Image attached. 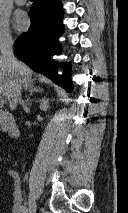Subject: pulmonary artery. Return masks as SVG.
I'll list each match as a JSON object with an SVG mask.
<instances>
[{
    "label": "pulmonary artery",
    "mask_w": 128,
    "mask_h": 213,
    "mask_svg": "<svg viewBox=\"0 0 128 213\" xmlns=\"http://www.w3.org/2000/svg\"><path fill=\"white\" fill-rule=\"evenodd\" d=\"M15 2H16L18 5H24V4H26L27 0H15Z\"/></svg>",
    "instance_id": "pulmonary-artery-1"
}]
</instances>
